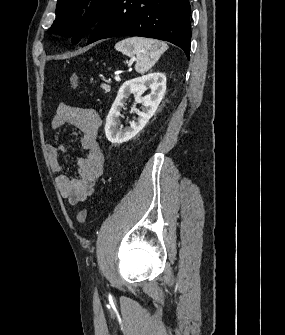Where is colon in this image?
I'll return each instance as SVG.
<instances>
[{
    "mask_svg": "<svg viewBox=\"0 0 285 335\" xmlns=\"http://www.w3.org/2000/svg\"><path fill=\"white\" fill-rule=\"evenodd\" d=\"M70 85L73 89H77L79 87V78L77 76L76 73H72L70 75ZM87 217H88V211L86 209H81L78 213H77V221L81 224V225H85L86 221H87Z\"/></svg>",
    "mask_w": 285,
    "mask_h": 335,
    "instance_id": "1",
    "label": "colon"
}]
</instances>
